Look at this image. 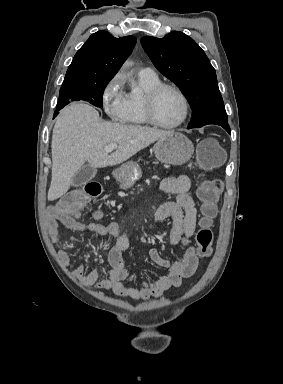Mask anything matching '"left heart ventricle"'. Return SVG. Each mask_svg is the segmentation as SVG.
Instances as JSON below:
<instances>
[{
	"label": "left heart ventricle",
	"mask_w": 283,
	"mask_h": 384,
	"mask_svg": "<svg viewBox=\"0 0 283 384\" xmlns=\"http://www.w3.org/2000/svg\"><path fill=\"white\" fill-rule=\"evenodd\" d=\"M153 112L158 122L164 125H171L181 119L183 104L175 92L164 90L156 98Z\"/></svg>",
	"instance_id": "b2bd125f"
}]
</instances>
